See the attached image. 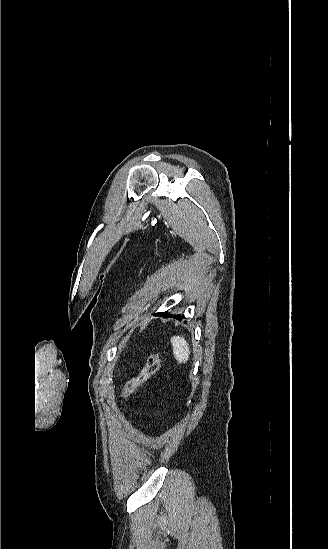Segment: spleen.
<instances>
[{"label": "spleen", "mask_w": 328, "mask_h": 549, "mask_svg": "<svg viewBox=\"0 0 328 549\" xmlns=\"http://www.w3.org/2000/svg\"><path fill=\"white\" fill-rule=\"evenodd\" d=\"M173 353L178 363H187L189 361L190 349L184 337H171Z\"/></svg>", "instance_id": "3e777b00"}]
</instances>
